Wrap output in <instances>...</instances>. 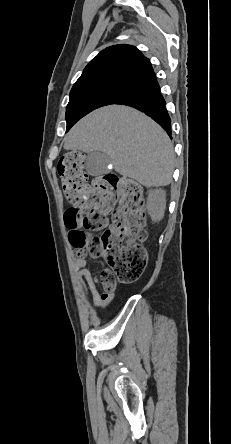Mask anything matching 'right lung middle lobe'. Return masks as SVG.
<instances>
[{"label":"right lung middle lobe","instance_id":"right-lung-middle-lobe-1","mask_svg":"<svg viewBox=\"0 0 231 444\" xmlns=\"http://www.w3.org/2000/svg\"><path fill=\"white\" fill-rule=\"evenodd\" d=\"M130 90L118 84H101L71 90L66 110L67 130L82 117L99 107L113 104Z\"/></svg>","mask_w":231,"mask_h":444}]
</instances>
